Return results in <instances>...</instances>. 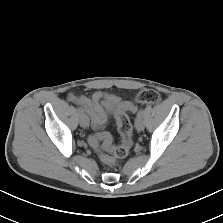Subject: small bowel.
<instances>
[{
  "label": "small bowel",
  "instance_id": "obj_1",
  "mask_svg": "<svg viewBox=\"0 0 223 223\" xmlns=\"http://www.w3.org/2000/svg\"><path fill=\"white\" fill-rule=\"evenodd\" d=\"M68 100L74 104L81 106L86 111L91 119L92 126L95 129H100L107 123V113L102 104V101H120L117 96L102 91L95 92L91 98L86 96H77L71 93L68 95Z\"/></svg>",
  "mask_w": 223,
  "mask_h": 223
}]
</instances>
